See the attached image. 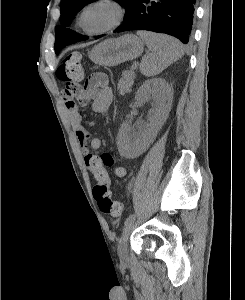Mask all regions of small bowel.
<instances>
[{
    "mask_svg": "<svg viewBox=\"0 0 245 300\" xmlns=\"http://www.w3.org/2000/svg\"><path fill=\"white\" fill-rule=\"evenodd\" d=\"M76 99L81 106H85L92 101V108L97 113L107 111L113 102V92L109 86L108 76L100 72L92 74L76 95ZM65 104L84 155L85 165L96 178L94 189L109 190L111 188V178L109 177L108 167H113L114 175L118 178L127 175L126 167L114 165V160L108 153L100 156L92 153V151H99L102 148V139L91 137L89 131L83 126L78 105L73 99L66 100Z\"/></svg>",
    "mask_w": 245,
    "mask_h": 300,
    "instance_id": "obj_1",
    "label": "small bowel"
}]
</instances>
